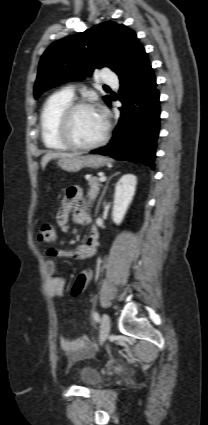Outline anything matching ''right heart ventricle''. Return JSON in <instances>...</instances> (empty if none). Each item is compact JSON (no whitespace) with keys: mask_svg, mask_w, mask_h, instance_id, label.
I'll use <instances>...</instances> for the list:
<instances>
[{"mask_svg":"<svg viewBox=\"0 0 208 425\" xmlns=\"http://www.w3.org/2000/svg\"><path fill=\"white\" fill-rule=\"evenodd\" d=\"M72 101L73 98L65 92H57L44 103L40 115V129L42 141L46 148L54 151L69 149L58 135V126L62 112Z\"/></svg>","mask_w":208,"mask_h":425,"instance_id":"e07e8e85","label":"right heart ventricle"}]
</instances>
